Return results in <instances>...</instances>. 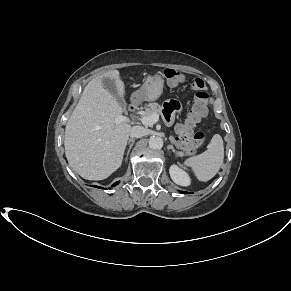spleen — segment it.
Here are the masks:
<instances>
[{"label": "spleen", "instance_id": "1", "mask_svg": "<svg viewBox=\"0 0 291 291\" xmlns=\"http://www.w3.org/2000/svg\"><path fill=\"white\" fill-rule=\"evenodd\" d=\"M223 160V140L219 134H215L207 146V150L200 155L187 159L184 165L192 168L198 180L206 182L217 174Z\"/></svg>", "mask_w": 291, "mask_h": 291}]
</instances>
